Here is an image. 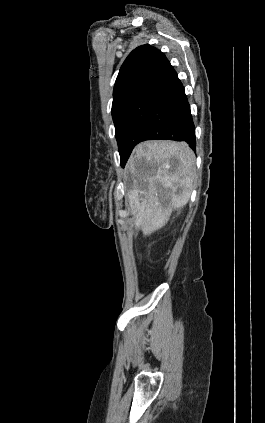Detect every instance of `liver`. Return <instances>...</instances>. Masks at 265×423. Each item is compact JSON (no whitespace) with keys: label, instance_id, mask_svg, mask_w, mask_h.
Returning <instances> with one entry per match:
<instances>
[{"label":"liver","instance_id":"liver-1","mask_svg":"<svg viewBox=\"0 0 265 423\" xmlns=\"http://www.w3.org/2000/svg\"><path fill=\"white\" fill-rule=\"evenodd\" d=\"M143 163L150 167L148 171L142 169ZM127 169L139 181L128 193L130 212L135 217V228H141L147 236L164 227L173 210L187 204L195 155L185 142L145 141L135 147ZM158 186L170 193L162 198Z\"/></svg>","mask_w":265,"mask_h":423}]
</instances>
